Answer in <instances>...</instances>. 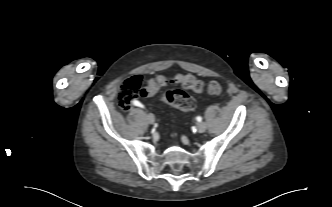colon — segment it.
Segmentation results:
<instances>
[{"mask_svg":"<svg viewBox=\"0 0 332 207\" xmlns=\"http://www.w3.org/2000/svg\"><path fill=\"white\" fill-rule=\"evenodd\" d=\"M168 84H179L183 89L174 88L165 91L161 95L162 100L184 112L191 111L195 106L193 97L185 89L198 94L206 92L210 95H219L223 90L222 85L215 81L210 82L205 87L200 80L190 74H176L173 76L160 74L151 79L145 86L142 85L141 76H133L121 85L117 97L118 105L123 110H129L133 105V100L139 97H153L161 87Z\"/></svg>","mask_w":332,"mask_h":207,"instance_id":"obj_1","label":"colon"}]
</instances>
